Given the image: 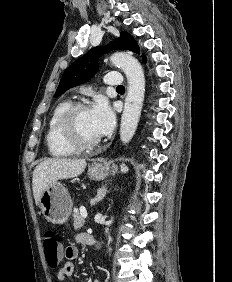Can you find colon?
I'll return each instance as SVG.
<instances>
[{"label": "colon", "instance_id": "1", "mask_svg": "<svg viewBox=\"0 0 232 282\" xmlns=\"http://www.w3.org/2000/svg\"><path fill=\"white\" fill-rule=\"evenodd\" d=\"M43 247L47 264L50 268L58 267L67 250H63L60 241L52 231H47L43 236Z\"/></svg>", "mask_w": 232, "mask_h": 282}]
</instances>
